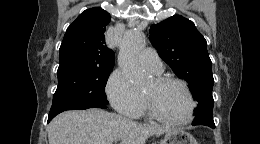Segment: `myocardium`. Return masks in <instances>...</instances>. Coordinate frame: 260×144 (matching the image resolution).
<instances>
[{
    "mask_svg": "<svg viewBox=\"0 0 260 144\" xmlns=\"http://www.w3.org/2000/svg\"><path fill=\"white\" fill-rule=\"evenodd\" d=\"M153 83L156 87H161V86H164L167 84H177V85L181 86L188 96V99L190 102V110H189V115L185 120L179 121V120L169 119V118L163 116L157 110V108L155 107V105L152 101V98L147 93L144 92L143 98H144L145 106L147 108L149 115L157 121H160L162 123H166L169 125H173V126H184V125L191 123L194 118V113H195V109H196V101H195L194 96H193L189 86L187 85V83L178 78L165 77V76H157V77L153 78Z\"/></svg>",
    "mask_w": 260,
    "mask_h": 144,
    "instance_id": "f54148a6",
    "label": "myocardium"
}]
</instances>
